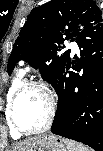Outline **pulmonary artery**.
Masks as SVG:
<instances>
[{
    "label": "pulmonary artery",
    "instance_id": "e3ab8cb5",
    "mask_svg": "<svg viewBox=\"0 0 103 151\" xmlns=\"http://www.w3.org/2000/svg\"><path fill=\"white\" fill-rule=\"evenodd\" d=\"M69 47L71 48V50H72L73 53H77L78 50H79V49H78V45H77L76 42H71V43L69 44ZM21 64L23 65L24 63L21 62ZM25 69L28 70V67H26Z\"/></svg>",
    "mask_w": 103,
    "mask_h": 151
}]
</instances>
